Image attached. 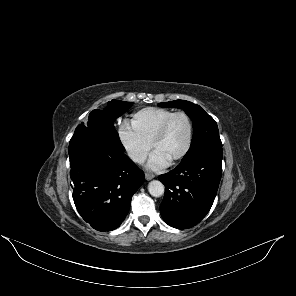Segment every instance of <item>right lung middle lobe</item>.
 I'll use <instances>...</instances> for the list:
<instances>
[{
	"label": "right lung middle lobe",
	"instance_id": "right-lung-middle-lobe-1",
	"mask_svg": "<svg viewBox=\"0 0 296 296\" xmlns=\"http://www.w3.org/2000/svg\"><path fill=\"white\" fill-rule=\"evenodd\" d=\"M132 104V102L112 100L102 111L93 110L86 125L96 124L109 130H115L114 121L128 110Z\"/></svg>",
	"mask_w": 296,
	"mask_h": 296
}]
</instances>
